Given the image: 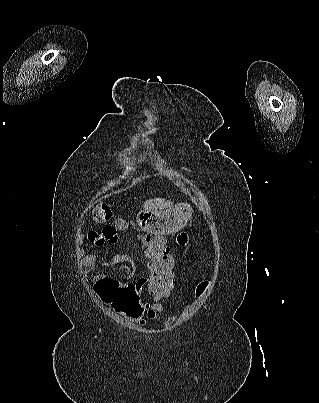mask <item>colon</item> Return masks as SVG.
<instances>
[{"instance_id":"5ec220e1","label":"colon","mask_w":319,"mask_h":403,"mask_svg":"<svg viewBox=\"0 0 319 403\" xmlns=\"http://www.w3.org/2000/svg\"><path fill=\"white\" fill-rule=\"evenodd\" d=\"M110 211V206L103 203L94 210L95 220L106 221ZM134 245L141 254H146L147 268L150 270L147 274L149 282H146L145 288L149 291L151 300L155 304H168L172 297V288L177 284L173 270L177 263L176 259H171L170 252H163L167 245V234H142L135 239ZM196 282L198 292L203 294L208 288L206 277L198 276ZM186 303L193 304L194 298L187 297Z\"/></svg>"}]
</instances>
